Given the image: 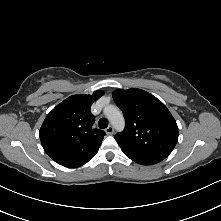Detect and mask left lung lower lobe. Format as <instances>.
Returning a JSON list of instances; mask_svg holds the SVG:
<instances>
[{
	"mask_svg": "<svg viewBox=\"0 0 221 221\" xmlns=\"http://www.w3.org/2000/svg\"><path fill=\"white\" fill-rule=\"evenodd\" d=\"M123 153L128 156L131 160H133L136 163L142 164V165H152L156 164L160 161H162L165 158L158 157V156H152L147 154H142L130 150H123Z\"/></svg>",
	"mask_w": 221,
	"mask_h": 221,
	"instance_id": "0a47b994",
	"label": "left lung lower lobe"
}]
</instances>
